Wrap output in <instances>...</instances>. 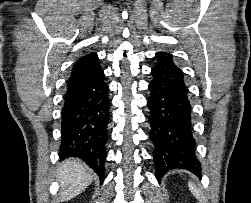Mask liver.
I'll return each instance as SVG.
<instances>
[{
	"label": "liver",
	"mask_w": 251,
	"mask_h": 203,
	"mask_svg": "<svg viewBox=\"0 0 251 203\" xmlns=\"http://www.w3.org/2000/svg\"><path fill=\"white\" fill-rule=\"evenodd\" d=\"M56 177L61 184V200L65 201L79 195L94 178L90 169L79 159L66 160L57 170Z\"/></svg>",
	"instance_id": "6515ba94"
}]
</instances>
